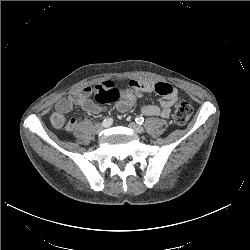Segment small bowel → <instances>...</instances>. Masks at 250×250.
Listing matches in <instances>:
<instances>
[{"instance_id":"1","label":"small bowel","mask_w":250,"mask_h":250,"mask_svg":"<svg viewBox=\"0 0 250 250\" xmlns=\"http://www.w3.org/2000/svg\"><path fill=\"white\" fill-rule=\"evenodd\" d=\"M131 90L137 95L144 93H156L161 96L160 106L146 105L142 108V113L146 116H160L168 118L171 114V108L176 103L178 91L171 84L166 82H153L148 80H131L129 82ZM91 87H85L72 92L70 95L62 98L55 107V112L51 115V123L57 129L73 131L77 125L75 118H66V114L71 111L74 105L79 106L87 113L97 114L102 109L91 99Z\"/></svg>"}]
</instances>
